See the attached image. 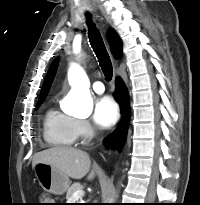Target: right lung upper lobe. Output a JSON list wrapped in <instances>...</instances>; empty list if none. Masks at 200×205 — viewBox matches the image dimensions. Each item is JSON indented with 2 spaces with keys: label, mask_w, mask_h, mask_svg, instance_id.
Here are the masks:
<instances>
[{
  "label": "right lung upper lobe",
  "mask_w": 200,
  "mask_h": 205,
  "mask_svg": "<svg viewBox=\"0 0 200 205\" xmlns=\"http://www.w3.org/2000/svg\"><path fill=\"white\" fill-rule=\"evenodd\" d=\"M108 40H109V43L111 45L114 56L116 58H119L122 55V41L119 38L118 34L115 32V30L112 29L109 31ZM57 65H58V60L56 59L52 63V65L47 73V76L45 78V81H44L42 89H41V93L39 95V99L46 97V95L50 89L51 83L54 79V76L56 74Z\"/></svg>",
  "instance_id": "right-lung-upper-lobe-1"
}]
</instances>
